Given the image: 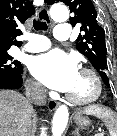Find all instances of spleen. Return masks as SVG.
Listing matches in <instances>:
<instances>
[{"mask_svg":"<svg viewBox=\"0 0 117 136\" xmlns=\"http://www.w3.org/2000/svg\"><path fill=\"white\" fill-rule=\"evenodd\" d=\"M86 115H93L101 119L107 127L110 136H117V115L108 108L98 105H90L83 111Z\"/></svg>","mask_w":117,"mask_h":136,"instance_id":"3e777b00","label":"spleen"}]
</instances>
